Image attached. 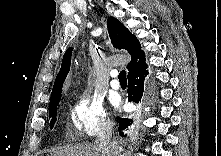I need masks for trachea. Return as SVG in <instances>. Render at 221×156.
I'll return each instance as SVG.
<instances>
[{"label":"trachea","instance_id":"1","mask_svg":"<svg viewBox=\"0 0 221 156\" xmlns=\"http://www.w3.org/2000/svg\"><path fill=\"white\" fill-rule=\"evenodd\" d=\"M119 80L120 81H126L127 79H126V72H125V70H122L120 73H119Z\"/></svg>","mask_w":221,"mask_h":156}]
</instances>
